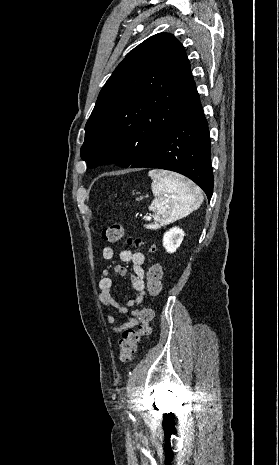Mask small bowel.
Listing matches in <instances>:
<instances>
[{"instance_id":"small-bowel-1","label":"small bowel","mask_w":279,"mask_h":465,"mask_svg":"<svg viewBox=\"0 0 279 465\" xmlns=\"http://www.w3.org/2000/svg\"><path fill=\"white\" fill-rule=\"evenodd\" d=\"M101 254L104 260L110 261L114 258L115 252L112 247L106 246L102 249ZM120 259L123 262L132 264L133 273L131 274V286L136 292L135 297L128 300L125 305L119 304L112 294L114 279L108 269L103 271V276L99 281V298L104 305L116 309L121 314L131 312V316L122 323H117V320L113 315H108L106 317L107 324L116 334L132 329L139 324V309H137L136 306L144 299L145 295V256L140 252L122 250L120 253ZM113 272L119 276H125L127 274L126 268L121 265H116Z\"/></svg>"}]
</instances>
